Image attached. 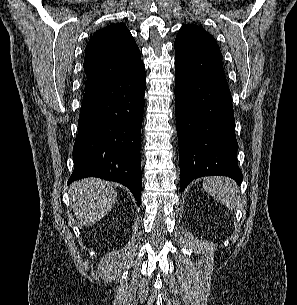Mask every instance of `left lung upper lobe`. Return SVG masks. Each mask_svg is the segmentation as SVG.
<instances>
[{
    "label": "left lung upper lobe",
    "instance_id": "obj_1",
    "mask_svg": "<svg viewBox=\"0 0 297 305\" xmlns=\"http://www.w3.org/2000/svg\"><path fill=\"white\" fill-rule=\"evenodd\" d=\"M175 63L188 73L223 71L222 53L212 35L197 25H184L175 39Z\"/></svg>",
    "mask_w": 297,
    "mask_h": 305
}]
</instances>
